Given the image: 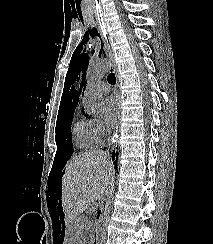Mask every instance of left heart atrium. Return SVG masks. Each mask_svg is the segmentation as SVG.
I'll return each mask as SVG.
<instances>
[{
  "label": "left heart atrium",
  "mask_w": 213,
  "mask_h": 244,
  "mask_svg": "<svg viewBox=\"0 0 213 244\" xmlns=\"http://www.w3.org/2000/svg\"><path fill=\"white\" fill-rule=\"evenodd\" d=\"M104 122L107 128H112L116 125L119 103L116 97H107L102 104Z\"/></svg>",
  "instance_id": "obj_1"
}]
</instances>
